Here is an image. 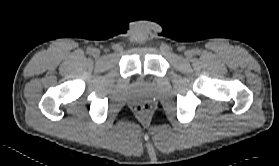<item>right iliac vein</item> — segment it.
<instances>
[{"label": "right iliac vein", "instance_id": "right-iliac-vein-1", "mask_svg": "<svg viewBox=\"0 0 279 166\" xmlns=\"http://www.w3.org/2000/svg\"><path fill=\"white\" fill-rule=\"evenodd\" d=\"M92 53L95 57H98L100 55V51L98 49H93Z\"/></svg>", "mask_w": 279, "mask_h": 166}]
</instances>
